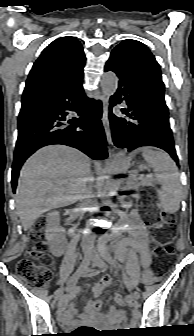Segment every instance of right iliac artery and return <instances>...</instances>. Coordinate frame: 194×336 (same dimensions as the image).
I'll use <instances>...</instances> for the list:
<instances>
[{
    "instance_id": "82829eb1",
    "label": "right iliac artery",
    "mask_w": 194,
    "mask_h": 336,
    "mask_svg": "<svg viewBox=\"0 0 194 336\" xmlns=\"http://www.w3.org/2000/svg\"><path fill=\"white\" fill-rule=\"evenodd\" d=\"M83 268H84V262L80 265V267L77 269V271L69 278L68 280V285L73 287L76 282L78 281V278L81 276L82 272H83ZM73 297L72 293L69 294H65L64 295V299H68Z\"/></svg>"
}]
</instances>
